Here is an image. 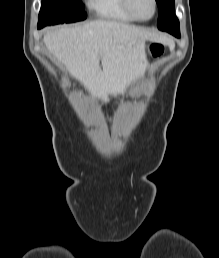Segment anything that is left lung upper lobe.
<instances>
[{
    "instance_id": "left-lung-upper-lobe-1",
    "label": "left lung upper lobe",
    "mask_w": 219,
    "mask_h": 258,
    "mask_svg": "<svg viewBox=\"0 0 219 258\" xmlns=\"http://www.w3.org/2000/svg\"><path fill=\"white\" fill-rule=\"evenodd\" d=\"M156 2L158 5V29L162 31L179 29L174 0H156Z\"/></svg>"
}]
</instances>
